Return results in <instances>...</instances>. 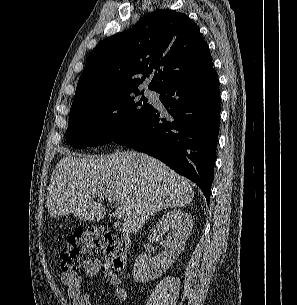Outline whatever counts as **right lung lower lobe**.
<instances>
[{
  "mask_svg": "<svg viewBox=\"0 0 297 305\" xmlns=\"http://www.w3.org/2000/svg\"><path fill=\"white\" fill-rule=\"evenodd\" d=\"M157 92L167 111L153 107L112 141L151 155L194 181L209 204L220 121L217 73L213 68Z\"/></svg>",
  "mask_w": 297,
  "mask_h": 305,
  "instance_id": "obj_1",
  "label": "right lung lower lobe"
}]
</instances>
